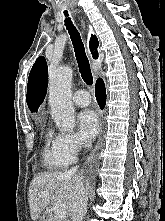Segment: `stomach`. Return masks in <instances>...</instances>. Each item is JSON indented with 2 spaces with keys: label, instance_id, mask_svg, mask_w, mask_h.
<instances>
[{
  "label": "stomach",
  "instance_id": "0dacf381",
  "mask_svg": "<svg viewBox=\"0 0 165 221\" xmlns=\"http://www.w3.org/2000/svg\"><path fill=\"white\" fill-rule=\"evenodd\" d=\"M42 221H50V219H48V218H43Z\"/></svg>",
  "mask_w": 165,
  "mask_h": 221
}]
</instances>
